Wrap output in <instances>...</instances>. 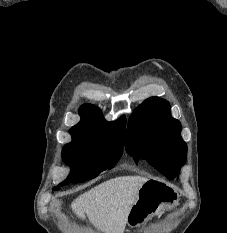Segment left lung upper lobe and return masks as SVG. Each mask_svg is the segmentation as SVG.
<instances>
[{"instance_id": "5c2ea615", "label": "left lung upper lobe", "mask_w": 227, "mask_h": 233, "mask_svg": "<svg viewBox=\"0 0 227 233\" xmlns=\"http://www.w3.org/2000/svg\"><path fill=\"white\" fill-rule=\"evenodd\" d=\"M127 134L126 151L136 162L146 159L170 180L179 174L187 145L169 102L159 97L145 100L130 116Z\"/></svg>"}]
</instances>
